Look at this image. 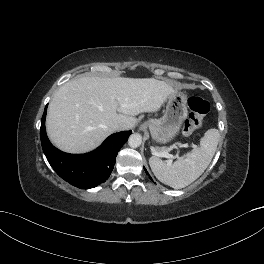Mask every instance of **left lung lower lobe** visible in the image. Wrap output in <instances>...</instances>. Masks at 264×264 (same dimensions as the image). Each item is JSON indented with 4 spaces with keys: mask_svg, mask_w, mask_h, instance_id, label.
<instances>
[{
    "mask_svg": "<svg viewBox=\"0 0 264 264\" xmlns=\"http://www.w3.org/2000/svg\"><path fill=\"white\" fill-rule=\"evenodd\" d=\"M145 172H146L147 175H149L146 169H145ZM149 178L152 180V178H151L150 176H149ZM152 181H153V180H152Z\"/></svg>",
    "mask_w": 264,
    "mask_h": 264,
    "instance_id": "1",
    "label": "left lung lower lobe"
}]
</instances>
